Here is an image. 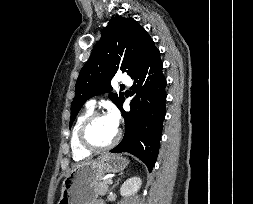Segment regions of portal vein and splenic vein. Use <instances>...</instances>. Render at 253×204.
<instances>
[{
  "mask_svg": "<svg viewBox=\"0 0 253 204\" xmlns=\"http://www.w3.org/2000/svg\"><path fill=\"white\" fill-rule=\"evenodd\" d=\"M107 183H108L109 185H111V184H113V181H112L111 179H109V180L107 181Z\"/></svg>",
  "mask_w": 253,
  "mask_h": 204,
  "instance_id": "18ae733b",
  "label": "portal vein and splenic vein"
}]
</instances>
